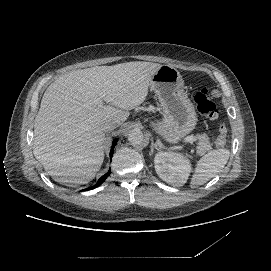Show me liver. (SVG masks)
<instances>
[{
	"label": "liver",
	"mask_w": 271,
	"mask_h": 271,
	"mask_svg": "<svg viewBox=\"0 0 271 271\" xmlns=\"http://www.w3.org/2000/svg\"><path fill=\"white\" fill-rule=\"evenodd\" d=\"M163 66L127 62L67 73L45 91L34 122L35 158L66 186L90 182L104 158L105 120L123 124Z\"/></svg>",
	"instance_id": "1"
}]
</instances>
